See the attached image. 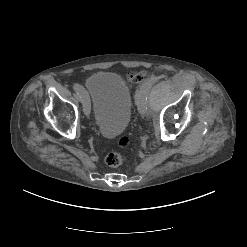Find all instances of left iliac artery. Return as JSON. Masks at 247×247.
Listing matches in <instances>:
<instances>
[{"label":"left iliac artery","instance_id":"1","mask_svg":"<svg viewBox=\"0 0 247 247\" xmlns=\"http://www.w3.org/2000/svg\"><path fill=\"white\" fill-rule=\"evenodd\" d=\"M153 84H154V79H150L142 84L141 90L148 92ZM142 104L143 105L147 104V97L142 101Z\"/></svg>","mask_w":247,"mask_h":247}]
</instances>
